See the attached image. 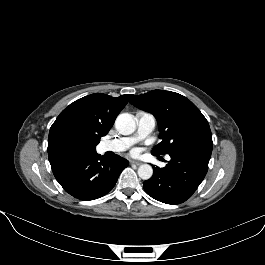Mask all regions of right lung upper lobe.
I'll use <instances>...</instances> for the list:
<instances>
[{
    "instance_id": "right-lung-upper-lobe-1",
    "label": "right lung upper lobe",
    "mask_w": 265,
    "mask_h": 265,
    "mask_svg": "<svg viewBox=\"0 0 265 265\" xmlns=\"http://www.w3.org/2000/svg\"><path fill=\"white\" fill-rule=\"evenodd\" d=\"M132 95L111 97L94 93L76 100L66 107L52 124L48 137V153L63 149L66 133L78 132L100 141L112 127L116 116Z\"/></svg>"
}]
</instances>
